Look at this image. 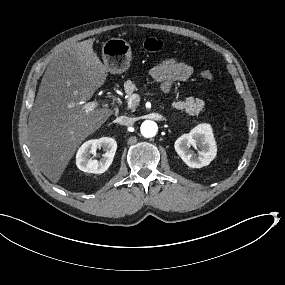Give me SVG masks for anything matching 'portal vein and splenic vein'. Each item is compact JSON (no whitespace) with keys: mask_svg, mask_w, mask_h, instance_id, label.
Wrapping results in <instances>:
<instances>
[{"mask_svg":"<svg viewBox=\"0 0 285 285\" xmlns=\"http://www.w3.org/2000/svg\"><path fill=\"white\" fill-rule=\"evenodd\" d=\"M137 99H139V94H132L128 99L127 107L129 109L135 108V106L138 104ZM106 104L107 102L103 100H92L87 103H84L82 109L89 112L97 109L99 106H105Z\"/></svg>","mask_w":285,"mask_h":285,"instance_id":"18ae733b","label":"portal vein and splenic vein"}]
</instances>
